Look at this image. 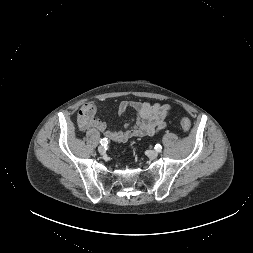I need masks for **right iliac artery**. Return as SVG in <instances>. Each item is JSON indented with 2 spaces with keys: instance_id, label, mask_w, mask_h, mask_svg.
Masks as SVG:
<instances>
[{
  "instance_id": "obj_1",
  "label": "right iliac artery",
  "mask_w": 253,
  "mask_h": 253,
  "mask_svg": "<svg viewBox=\"0 0 253 253\" xmlns=\"http://www.w3.org/2000/svg\"><path fill=\"white\" fill-rule=\"evenodd\" d=\"M100 144L103 145V146H106L108 144V140L107 138H103L100 140Z\"/></svg>"
}]
</instances>
